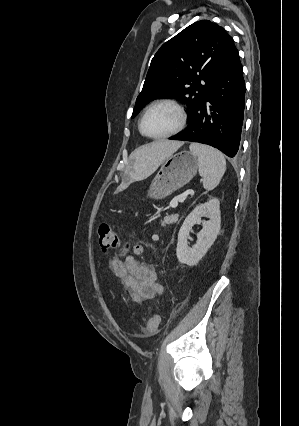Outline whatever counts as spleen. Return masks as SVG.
Wrapping results in <instances>:
<instances>
[{
    "label": "spleen",
    "instance_id": "3e777b00",
    "mask_svg": "<svg viewBox=\"0 0 299 426\" xmlns=\"http://www.w3.org/2000/svg\"><path fill=\"white\" fill-rule=\"evenodd\" d=\"M189 149L198 158L199 175L203 178L204 188L214 189L226 171V160L223 154L213 147L197 143L191 144Z\"/></svg>",
    "mask_w": 299,
    "mask_h": 426
}]
</instances>
